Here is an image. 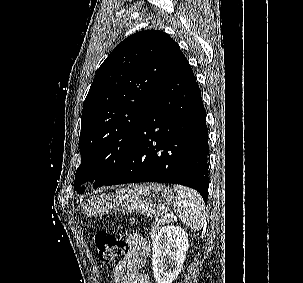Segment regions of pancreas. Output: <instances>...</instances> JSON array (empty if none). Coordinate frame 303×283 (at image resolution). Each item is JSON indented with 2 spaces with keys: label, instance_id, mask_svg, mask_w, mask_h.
I'll list each match as a JSON object with an SVG mask.
<instances>
[{
  "label": "pancreas",
  "instance_id": "obj_1",
  "mask_svg": "<svg viewBox=\"0 0 303 283\" xmlns=\"http://www.w3.org/2000/svg\"><path fill=\"white\" fill-rule=\"evenodd\" d=\"M160 230V226L157 222H155L152 226H151V238H154L157 233H159Z\"/></svg>",
  "mask_w": 303,
  "mask_h": 283
}]
</instances>
